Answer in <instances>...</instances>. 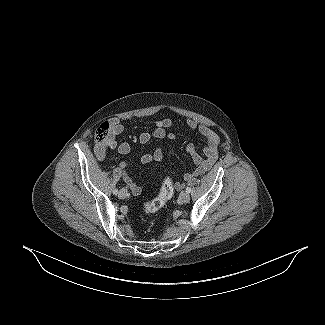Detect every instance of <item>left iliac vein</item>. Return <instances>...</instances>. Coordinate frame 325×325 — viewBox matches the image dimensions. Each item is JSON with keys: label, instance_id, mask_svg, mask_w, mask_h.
I'll list each match as a JSON object with an SVG mask.
<instances>
[{"label": "left iliac vein", "instance_id": "left-iliac-vein-1", "mask_svg": "<svg viewBox=\"0 0 325 325\" xmlns=\"http://www.w3.org/2000/svg\"><path fill=\"white\" fill-rule=\"evenodd\" d=\"M179 200L182 202V203H188L189 200H190V196L187 192L185 191H182L179 195Z\"/></svg>", "mask_w": 325, "mask_h": 325}]
</instances>
